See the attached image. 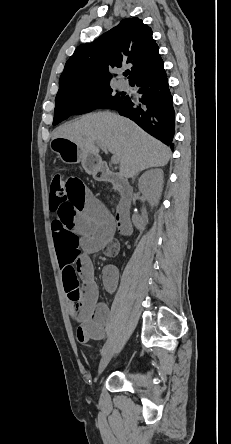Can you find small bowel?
Instances as JSON below:
<instances>
[{
    "mask_svg": "<svg viewBox=\"0 0 231 444\" xmlns=\"http://www.w3.org/2000/svg\"><path fill=\"white\" fill-rule=\"evenodd\" d=\"M50 209L55 214L51 228L67 295V311L76 324L77 338L81 343L101 340L111 313L108 306L99 301L89 254L102 251L107 257L117 255L119 243L113 236L112 217L77 177L68 178L65 198H51ZM102 281L108 292H114L119 281L118 269L106 265L102 269Z\"/></svg>",
    "mask_w": 231,
    "mask_h": 444,
    "instance_id": "1",
    "label": "small bowel"
}]
</instances>
